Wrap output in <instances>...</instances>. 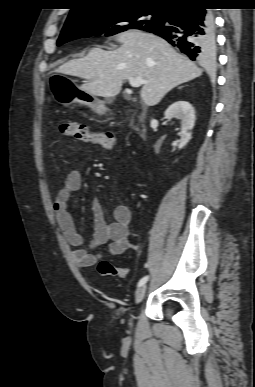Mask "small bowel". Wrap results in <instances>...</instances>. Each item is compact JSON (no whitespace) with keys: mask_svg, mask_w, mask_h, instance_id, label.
<instances>
[{"mask_svg":"<svg viewBox=\"0 0 255 387\" xmlns=\"http://www.w3.org/2000/svg\"><path fill=\"white\" fill-rule=\"evenodd\" d=\"M81 185V172L77 169L70 170L53 202L57 224L66 241L74 247L72 256L76 264L81 268L94 266L101 255L93 252V249L105 244L108 245V253L111 255H120L126 251L137 249V245L130 240L132 220L130 208L126 205L117 206L113 210V220L108 222L103 205L97 198L92 200L93 239L88 247L84 246V238L77 231L74 219L68 210L71 196L81 188Z\"/></svg>","mask_w":255,"mask_h":387,"instance_id":"small-bowel-1","label":"small bowel"}]
</instances>
